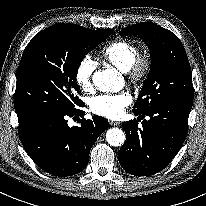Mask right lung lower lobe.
<instances>
[{
	"label": "right lung lower lobe",
	"mask_w": 206,
	"mask_h": 206,
	"mask_svg": "<svg viewBox=\"0 0 206 206\" xmlns=\"http://www.w3.org/2000/svg\"><path fill=\"white\" fill-rule=\"evenodd\" d=\"M84 114L75 108L66 114L40 116L19 124L21 143L42 170L66 177L85 169L92 146L109 123L94 116L92 120L79 119L80 126H68V117L79 118Z\"/></svg>",
	"instance_id": "obj_1"
}]
</instances>
